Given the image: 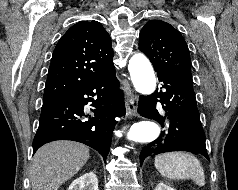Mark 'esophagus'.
<instances>
[{"label": "esophagus", "instance_id": "1", "mask_svg": "<svg viewBox=\"0 0 238 190\" xmlns=\"http://www.w3.org/2000/svg\"><path fill=\"white\" fill-rule=\"evenodd\" d=\"M137 108H138V98L136 95H130L126 98V110L127 114L130 116L137 115Z\"/></svg>", "mask_w": 238, "mask_h": 190}]
</instances>
